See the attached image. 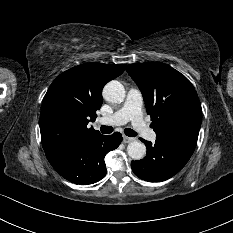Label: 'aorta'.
Listing matches in <instances>:
<instances>
[{"instance_id": "obj_1", "label": "aorta", "mask_w": 233, "mask_h": 233, "mask_svg": "<svg viewBox=\"0 0 233 233\" xmlns=\"http://www.w3.org/2000/svg\"><path fill=\"white\" fill-rule=\"evenodd\" d=\"M103 97L108 102L121 103L125 98V89L119 81L112 80L105 85ZM127 153L132 159L140 160L146 154V146L140 141L130 142L127 146Z\"/></svg>"}]
</instances>
